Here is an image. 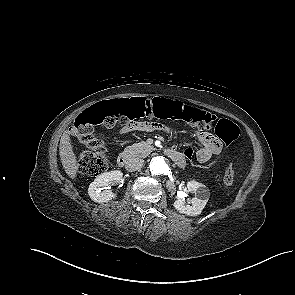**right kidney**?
I'll return each instance as SVG.
<instances>
[{"mask_svg": "<svg viewBox=\"0 0 295 295\" xmlns=\"http://www.w3.org/2000/svg\"><path fill=\"white\" fill-rule=\"evenodd\" d=\"M122 172L119 170H114L106 173H102L96 177V179L89 185L88 195L89 197L97 203L107 202L116 198L111 190H103L109 182L113 184L122 182Z\"/></svg>", "mask_w": 295, "mask_h": 295, "instance_id": "obj_1", "label": "right kidney"}]
</instances>
